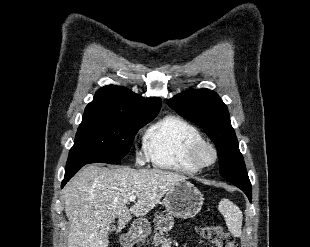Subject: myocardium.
<instances>
[{
    "label": "myocardium",
    "instance_id": "myocardium-1",
    "mask_svg": "<svg viewBox=\"0 0 310 247\" xmlns=\"http://www.w3.org/2000/svg\"><path fill=\"white\" fill-rule=\"evenodd\" d=\"M203 148L210 149L213 154V159L210 163H202L199 159V154ZM187 156L189 162L199 170L213 166L217 162L218 152L216 147L211 142L201 139L190 145Z\"/></svg>",
    "mask_w": 310,
    "mask_h": 247
}]
</instances>
